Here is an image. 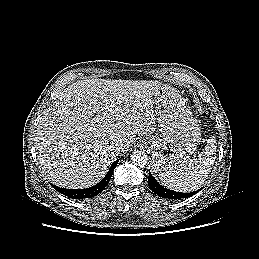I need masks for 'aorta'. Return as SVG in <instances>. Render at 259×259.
Returning <instances> with one entry per match:
<instances>
[{"mask_svg": "<svg viewBox=\"0 0 259 259\" xmlns=\"http://www.w3.org/2000/svg\"><path fill=\"white\" fill-rule=\"evenodd\" d=\"M131 159H132L133 163H135L136 165H138L140 167H144L148 163L147 154L145 152L139 151V150H135L132 153Z\"/></svg>", "mask_w": 259, "mask_h": 259, "instance_id": "obj_1", "label": "aorta"}]
</instances>
